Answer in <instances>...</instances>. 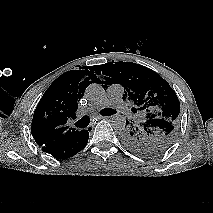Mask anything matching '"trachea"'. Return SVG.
Segmentation results:
<instances>
[{
	"mask_svg": "<svg viewBox=\"0 0 213 213\" xmlns=\"http://www.w3.org/2000/svg\"><path fill=\"white\" fill-rule=\"evenodd\" d=\"M116 111L114 109L111 108H106L100 111V114L103 116H110L115 114ZM90 123V118L89 116H83L80 120H78L75 125L79 128H85L89 125Z\"/></svg>",
	"mask_w": 213,
	"mask_h": 213,
	"instance_id": "1",
	"label": "trachea"
}]
</instances>
